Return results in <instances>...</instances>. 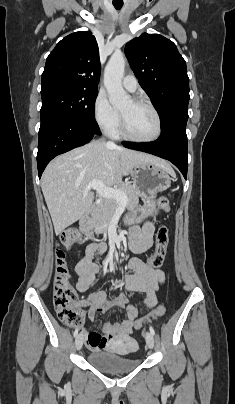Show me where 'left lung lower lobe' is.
Returning a JSON list of instances; mask_svg holds the SVG:
<instances>
[{
  "label": "left lung lower lobe",
  "instance_id": "1",
  "mask_svg": "<svg viewBox=\"0 0 235 404\" xmlns=\"http://www.w3.org/2000/svg\"><path fill=\"white\" fill-rule=\"evenodd\" d=\"M126 148L143 151L171 161L187 178L186 128H174L162 132L158 140L147 145H132L123 142Z\"/></svg>",
  "mask_w": 235,
  "mask_h": 404
}]
</instances>
